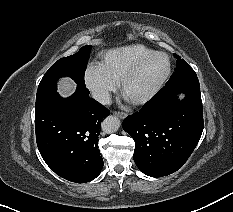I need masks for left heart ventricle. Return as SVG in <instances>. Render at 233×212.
I'll return each instance as SVG.
<instances>
[{
	"mask_svg": "<svg viewBox=\"0 0 233 212\" xmlns=\"http://www.w3.org/2000/svg\"><path fill=\"white\" fill-rule=\"evenodd\" d=\"M166 69L167 60L164 56L149 60L128 84L126 96L134 99L147 93L164 75Z\"/></svg>",
	"mask_w": 233,
	"mask_h": 212,
	"instance_id": "1",
	"label": "left heart ventricle"
}]
</instances>
